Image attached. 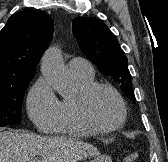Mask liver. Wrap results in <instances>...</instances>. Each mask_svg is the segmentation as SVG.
I'll return each mask as SVG.
<instances>
[{"mask_svg":"<svg viewBox=\"0 0 168 162\" xmlns=\"http://www.w3.org/2000/svg\"><path fill=\"white\" fill-rule=\"evenodd\" d=\"M98 155L96 147L76 139L0 130V162H77Z\"/></svg>","mask_w":168,"mask_h":162,"instance_id":"liver-1","label":"liver"}]
</instances>
